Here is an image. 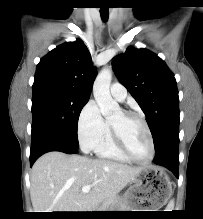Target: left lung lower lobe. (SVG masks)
Segmentation results:
<instances>
[{
    "mask_svg": "<svg viewBox=\"0 0 203 219\" xmlns=\"http://www.w3.org/2000/svg\"><path fill=\"white\" fill-rule=\"evenodd\" d=\"M179 138L170 140L159 152L153 162L171 170L178 178L179 169Z\"/></svg>",
    "mask_w": 203,
    "mask_h": 219,
    "instance_id": "obj_1",
    "label": "left lung lower lobe"
}]
</instances>
